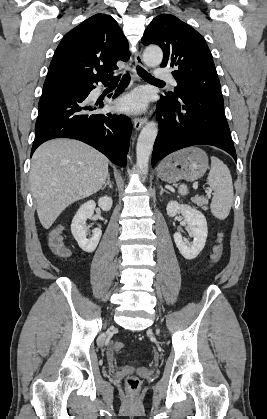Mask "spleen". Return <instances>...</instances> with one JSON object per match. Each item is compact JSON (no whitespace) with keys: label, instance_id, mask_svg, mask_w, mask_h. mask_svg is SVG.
Wrapping results in <instances>:
<instances>
[{"label":"spleen","instance_id":"1","mask_svg":"<svg viewBox=\"0 0 267 419\" xmlns=\"http://www.w3.org/2000/svg\"><path fill=\"white\" fill-rule=\"evenodd\" d=\"M207 184L214 191L210 209L219 220H224L229 215L233 203V183L230 170L219 158L211 157V169L207 177ZM182 196L188 194L186 185L178 188Z\"/></svg>","mask_w":267,"mask_h":419}]
</instances>
